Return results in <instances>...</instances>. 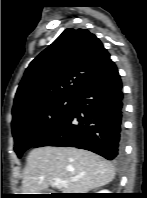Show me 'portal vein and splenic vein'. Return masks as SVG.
Masks as SVG:
<instances>
[{"instance_id":"obj_1","label":"portal vein and splenic vein","mask_w":147,"mask_h":198,"mask_svg":"<svg viewBox=\"0 0 147 198\" xmlns=\"http://www.w3.org/2000/svg\"><path fill=\"white\" fill-rule=\"evenodd\" d=\"M54 185L59 186V187L67 186L68 182L65 181V180H61V179L56 178V179H54Z\"/></svg>"}]
</instances>
